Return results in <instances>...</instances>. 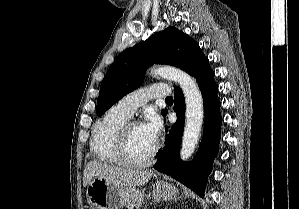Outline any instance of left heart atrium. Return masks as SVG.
<instances>
[{"label": "left heart atrium", "instance_id": "39dd6f15", "mask_svg": "<svg viewBox=\"0 0 299 209\" xmlns=\"http://www.w3.org/2000/svg\"><path fill=\"white\" fill-rule=\"evenodd\" d=\"M141 127L150 141L156 144L162 131V121L159 116L153 112L149 113Z\"/></svg>", "mask_w": 299, "mask_h": 209}]
</instances>
